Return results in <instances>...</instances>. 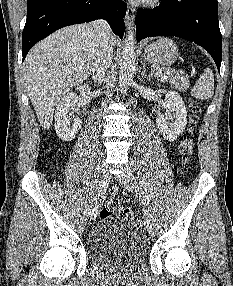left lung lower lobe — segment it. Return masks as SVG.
Listing matches in <instances>:
<instances>
[{
  "label": "left lung lower lobe",
  "mask_w": 233,
  "mask_h": 286,
  "mask_svg": "<svg viewBox=\"0 0 233 286\" xmlns=\"http://www.w3.org/2000/svg\"><path fill=\"white\" fill-rule=\"evenodd\" d=\"M137 41L152 36H176L202 46L220 72L222 36L217 0H162L153 9H139Z\"/></svg>",
  "instance_id": "obj_1"
}]
</instances>
